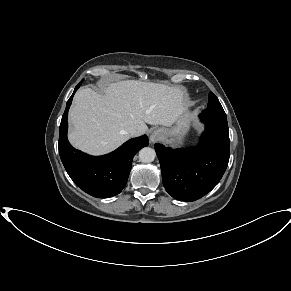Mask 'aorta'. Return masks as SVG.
<instances>
[{"label": "aorta", "instance_id": "762f6f07", "mask_svg": "<svg viewBox=\"0 0 291 291\" xmlns=\"http://www.w3.org/2000/svg\"><path fill=\"white\" fill-rule=\"evenodd\" d=\"M155 157H156L155 150L149 147H144L139 152V159L143 163H150L154 161Z\"/></svg>", "mask_w": 291, "mask_h": 291}]
</instances>
